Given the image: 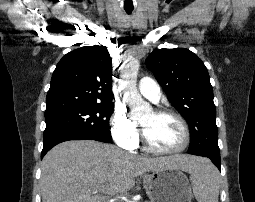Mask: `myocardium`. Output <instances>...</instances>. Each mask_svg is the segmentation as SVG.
Instances as JSON below:
<instances>
[{"instance_id":"f54148a6","label":"myocardium","mask_w":255,"mask_h":202,"mask_svg":"<svg viewBox=\"0 0 255 202\" xmlns=\"http://www.w3.org/2000/svg\"><path fill=\"white\" fill-rule=\"evenodd\" d=\"M153 112L157 116H172L175 119H177L182 127L184 139H183L182 144L179 147L174 148V149L166 150V149L156 148L150 142V140L147 136L145 127L140 123L141 138H142V142H143L145 149L151 153L160 154V155H171V154H177V153L184 151L190 144V140H191L190 129H189V126H188L186 120L184 119V117L182 115H180L178 112L171 110V109H166V108L155 109V110H153Z\"/></svg>"}]
</instances>
